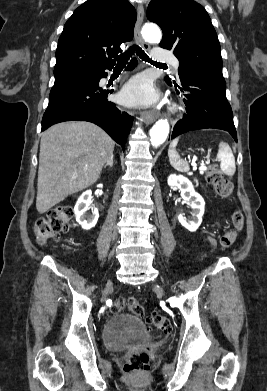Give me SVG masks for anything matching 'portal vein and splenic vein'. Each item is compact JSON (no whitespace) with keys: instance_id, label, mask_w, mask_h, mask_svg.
Listing matches in <instances>:
<instances>
[{"instance_id":"obj_1","label":"portal vein and splenic vein","mask_w":267,"mask_h":391,"mask_svg":"<svg viewBox=\"0 0 267 391\" xmlns=\"http://www.w3.org/2000/svg\"><path fill=\"white\" fill-rule=\"evenodd\" d=\"M192 166H197V164H196V162H195V159H192ZM202 166H201V169H206V167L204 166V164L202 163L201 164Z\"/></svg>"}]
</instances>
